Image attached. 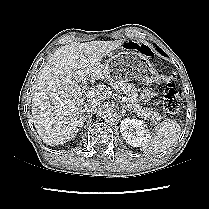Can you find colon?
I'll use <instances>...</instances> for the list:
<instances>
[{"instance_id": "obj_1", "label": "colon", "mask_w": 209, "mask_h": 209, "mask_svg": "<svg viewBox=\"0 0 209 209\" xmlns=\"http://www.w3.org/2000/svg\"><path fill=\"white\" fill-rule=\"evenodd\" d=\"M129 49L137 50L146 57L153 56V50L146 44L131 43ZM182 106V97L173 82H168L163 94V111L166 117L170 118L176 115Z\"/></svg>"}]
</instances>
